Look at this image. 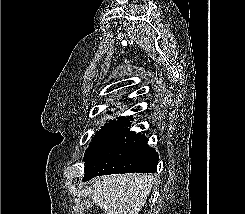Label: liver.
<instances>
[{
	"label": "liver",
	"instance_id": "6515ba94",
	"mask_svg": "<svg viewBox=\"0 0 245 214\" xmlns=\"http://www.w3.org/2000/svg\"><path fill=\"white\" fill-rule=\"evenodd\" d=\"M155 181L137 173L100 176L93 180L91 199L104 214H139Z\"/></svg>",
	"mask_w": 245,
	"mask_h": 214
}]
</instances>
